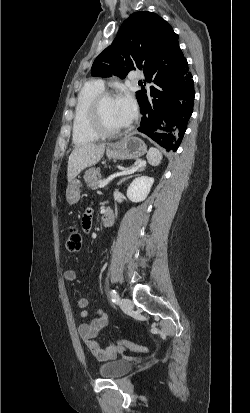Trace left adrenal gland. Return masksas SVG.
<instances>
[{
	"label": "left adrenal gland",
	"mask_w": 250,
	"mask_h": 413,
	"mask_svg": "<svg viewBox=\"0 0 250 413\" xmlns=\"http://www.w3.org/2000/svg\"><path fill=\"white\" fill-rule=\"evenodd\" d=\"M143 170V169H142ZM134 175L131 174L129 176H125L124 178H122L119 182L118 185L122 184L123 182H125L126 180H128L129 178H132Z\"/></svg>",
	"instance_id": "a2214340"
}]
</instances>
